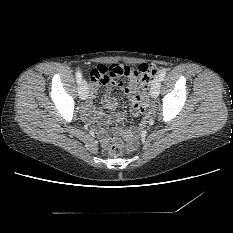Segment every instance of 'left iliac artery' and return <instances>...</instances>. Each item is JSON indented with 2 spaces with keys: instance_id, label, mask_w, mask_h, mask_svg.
Instances as JSON below:
<instances>
[{
  "instance_id": "obj_1",
  "label": "left iliac artery",
  "mask_w": 233,
  "mask_h": 233,
  "mask_svg": "<svg viewBox=\"0 0 233 233\" xmlns=\"http://www.w3.org/2000/svg\"><path fill=\"white\" fill-rule=\"evenodd\" d=\"M165 76H166V70L163 69L159 74V78L161 79V81L165 78Z\"/></svg>"
}]
</instances>
